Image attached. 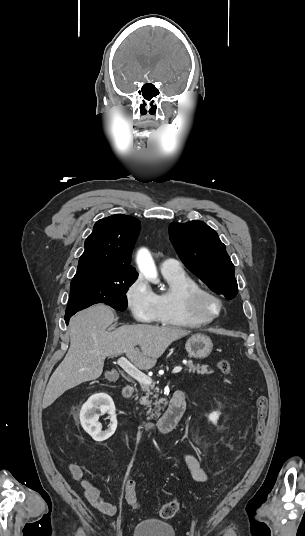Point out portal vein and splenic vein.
<instances>
[{
    "instance_id": "1",
    "label": "portal vein and splenic vein",
    "mask_w": 305,
    "mask_h": 536,
    "mask_svg": "<svg viewBox=\"0 0 305 536\" xmlns=\"http://www.w3.org/2000/svg\"><path fill=\"white\" fill-rule=\"evenodd\" d=\"M117 364L120 366V368H123L124 372H127L131 378L137 380L141 386H150V384H152L151 378L146 376V374H143V372H140V370H137L135 366H132V364L126 360V358H119V360H117ZM181 370V366H176V368L172 370V374H178V372H181ZM159 374H164V372H159Z\"/></svg>"
}]
</instances>
